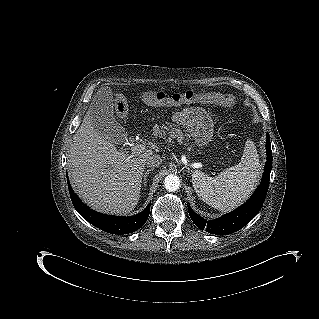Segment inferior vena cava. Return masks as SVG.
<instances>
[{
  "label": "inferior vena cava",
  "mask_w": 319,
  "mask_h": 319,
  "mask_svg": "<svg viewBox=\"0 0 319 319\" xmlns=\"http://www.w3.org/2000/svg\"><path fill=\"white\" fill-rule=\"evenodd\" d=\"M162 164V158L158 154L149 156L146 160V166L149 168H155Z\"/></svg>",
  "instance_id": "602c4592"
}]
</instances>
